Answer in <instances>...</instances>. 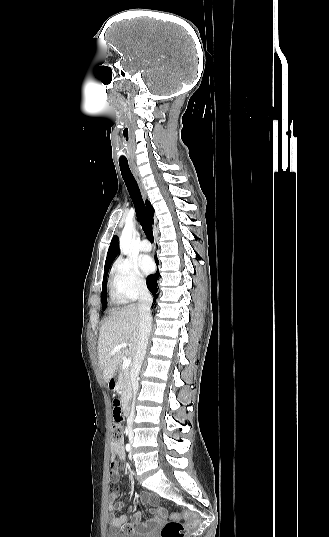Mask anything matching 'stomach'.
Instances as JSON below:
<instances>
[{
  "mask_svg": "<svg viewBox=\"0 0 329 537\" xmlns=\"http://www.w3.org/2000/svg\"><path fill=\"white\" fill-rule=\"evenodd\" d=\"M112 379L109 380L108 382V386L110 385ZM117 389V384L114 383V385L112 386V390L115 391Z\"/></svg>",
  "mask_w": 329,
  "mask_h": 537,
  "instance_id": "stomach-1",
  "label": "stomach"
}]
</instances>
